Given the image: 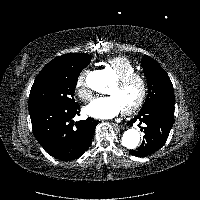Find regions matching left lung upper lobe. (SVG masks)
<instances>
[{
	"label": "left lung upper lobe",
	"instance_id": "obj_1",
	"mask_svg": "<svg viewBox=\"0 0 200 200\" xmlns=\"http://www.w3.org/2000/svg\"><path fill=\"white\" fill-rule=\"evenodd\" d=\"M141 66L148 82V97L142 109L154 103L174 104L173 85L164 69L147 55L142 59Z\"/></svg>",
	"mask_w": 200,
	"mask_h": 200
}]
</instances>
